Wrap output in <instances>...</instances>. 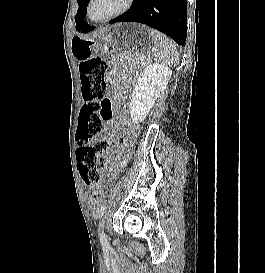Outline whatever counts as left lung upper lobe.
I'll return each instance as SVG.
<instances>
[{
    "label": "left lung upper lobe",
    "instance_id": "obj_1",
    "mask_svg": "<svg viewBox=\"0 0 265 273\" xmlns=\"http://www.w3.org/2000/svg\"><path fill=\"white\" fill-rule=\"evenodd\" d=\"M89 3V0H78V11L75 16L76 21V30H80L81 27L86 23L84 17L86 16V7Z\"/></svg>",
    "mask_w": 265,
    "mask_h": 273
}]
</instances>
